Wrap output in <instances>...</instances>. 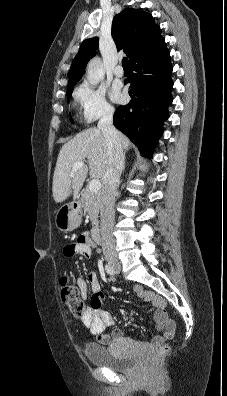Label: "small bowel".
<instances>
[{
	"label": "small bowel",
	"mask_w": 227,
	"mask_h": 396,
	"mask_svg": "<svg viewBox=\"0 0 227 396\" xmlns=\"http://www.w3.org/2000/svg\"><path fill=\"white\" fill-rule=\"evenodd\" d=\"M92 249V241L86 235H80L74 244L67 245L64 248V254L66 256H72L74 254L90 256L92 254ZM76 284L82 299L88 296V286H90L93 292V308L86 309L84 315L81 316V320L86 328L96 336L99 343L104 345H123L145 341L143 338L137 339L125 336L120 328L114 329L110 334L105 332L106 328L113 324L114 319L108 311L99 308L103 302V293L96 272L91 271L87 279L79 278ZM133 291L138 297L152 304L155 322L163 332L162 335L153 337L149 345L155 348L165 340L171 339L174 335L175 324L168 318L165 312V300L152 292L144 290L138 285L133 287Z\"/></svg>",
	"instance_id": "obj_1"
}]
</instances>
